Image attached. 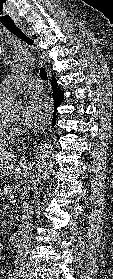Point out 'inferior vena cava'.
<instances>
[{
    "instance_id": "inferior-vena-cava-1",
    "label": "inferior vena cava",
    "mask_w": 113,
    "mask_h": 279,
    "mask_svg": "<svg viewBox=\"0 0 113 279\" xmlns=\"http://www.w3.org/2000/svg\"><path fill=\"white\" fill-rule=\"evenodd\" d=\"M33 209L29 201V189L24 190V202L22 211V224L20 226L21 240L17 248L15 267L21 274L30 273L29 254L31 250L32 224L31 215Z\"/></svg>"
}]
</instances>
